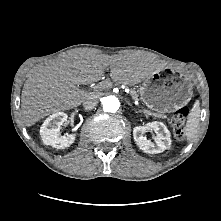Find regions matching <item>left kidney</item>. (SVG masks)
<instances>
[{
	"label": "left kidney",
	"instance_id": "left-kidney-1",
	"mask_svg": "<svg viewBox=\"0 0 221 221\" xmlns=\"http://www.w3.org/2000/svg\"><path fill=\"white\" fill-rule=\"evenodd\" d=\"M147 130H153L156 133L155 144L144 137ZM170 132L167 127L158 121L146 125L136 126L133 129V137L137 146L149 154H157L165 151L171 146Z\"/></svg>",
	"mask_w": 221,
	"mask_h": 221
}]
</instances>
